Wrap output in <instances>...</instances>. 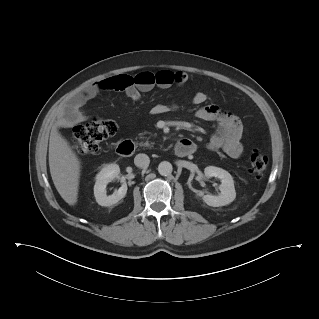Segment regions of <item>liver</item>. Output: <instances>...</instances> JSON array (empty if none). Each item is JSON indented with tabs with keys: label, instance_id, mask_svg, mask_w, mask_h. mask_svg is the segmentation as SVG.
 Segmentation results:
<instances>
[{
	"label": "liver",
	"instance_id": "6515ba94",
	"mask_svg": "<svg viewBox=\"0 0 319 319\" xmlns=\"http://www.w3.org/2000/svg\"><path fill=\"white\" fill-rule=\"evenodd\" d=\"M49 167L60 196L69 205H75L78 199L81 162L69 142L55 128L50 134Z\"/></svg>",
	"mask_w": 319,
	"mask_h": 319
}]
</instances>
